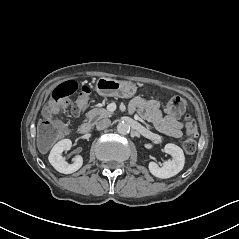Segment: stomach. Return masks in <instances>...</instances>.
<instances>
[{
    "label": "stomach",
    "instance_id": "stomach-1",
    "mask_svg": "<svg viewBox=\"0 0 239 239\" xmlns=\"http://www.w3.org/2000/svg\"><path fill=\"white\" fill-rule=\"evenodd\" d=\"M95 90L101 96L131 98L135 95L137 87L130 81L101 77L96 82Z\"/></svg>",
    "mask_w": 239,
    "mask_h": 239
}]
</instances>
